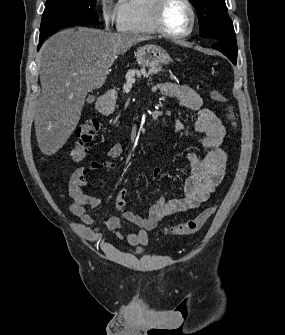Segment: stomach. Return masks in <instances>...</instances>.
<instances>
[{"mask_svg": "<svg viewBox=\"0 0 285 335\" xmlns=\"http://www.w3.org/2000/svg\"><path fill=\"white\" fill-rule=\"evenodd\" d=\"M135 56L136 62H138L142 68H157V66H164V64L172 62L166 50H163L160 46H152V44L138 48ZM100 106L103 112H107L109 108L113 110L115 102L110 96H102Z\"/></svg>", "mask_w": 285, "mask_h": 335, "instance_id": "obj_1", "label": "stomach"}]
</instances>
